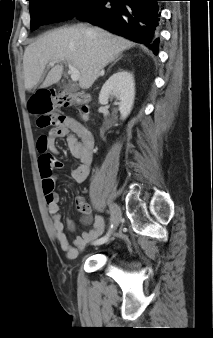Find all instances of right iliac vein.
Wrapping results in <instances>:
<instances>
[{"label": "right iliac vein", "mask_w": 213, "mask_h": 338, "mask_svg": "<svg viewBox=\"0 0 213 338\" xmlns=\"http://www.w3.org/2000/svg\"><path fill=\"white\" fill-rule=\"evenodd\" d=\"M110 215H111V223L114 228H116L120 222L121 211L118 205L115 203L110 204Z\"/></svg>", "instance_id": "63e3f726"}]
</instances>
